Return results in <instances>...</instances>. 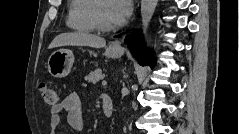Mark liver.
Instances as JSON below:
<instances>
[{"label": "liver", "mask_w": 239, "mask_h": 134, "mask_svg": "<svg viewBox=\"0 0 239 134\" xmlns=\"http://www.w3.org/2000/svg\"><path fill=\"white\" fill-rule=\"evenodd\" d=\"M105 45V39L99 36L83 32H71L56 36L49 45V49L61 46H89L102 48L105 47Z\"/></svg>", "instance_id": "1"}]
</instances>
